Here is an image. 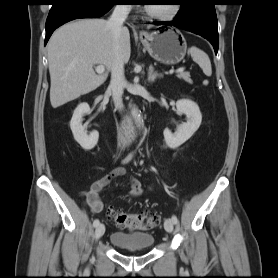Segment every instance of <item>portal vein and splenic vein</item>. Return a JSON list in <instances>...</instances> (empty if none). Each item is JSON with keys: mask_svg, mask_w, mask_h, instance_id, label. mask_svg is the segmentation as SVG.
I'll list each match as a JSON object with an SVG mask.
<instances>
[{"mask_svg": "<svg viewBox=\"0 0 278 278\" xmlns=\"http://www.w3.org/2000/svg\"><path fill=\"white\" fill-rule=\"evenodd\" d=\"M104 71H105V67H104L103 65H98V66L96 67V72H97L98 74H102V73H104ZM183 71H184V68L181 67V68L176 69L175 71H170L169 73H170V74H172L173 72L182 73Z\"/></svg>", "mask_w": 278, "mask_h": 278, "instance_id": "1", "label": "portal vein and splenic vein"}]
</instances>
